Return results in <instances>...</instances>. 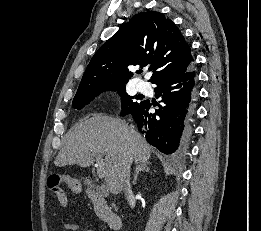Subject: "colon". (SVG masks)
I'll return each mask as SVG.
<instances>
[{
	"label": "colon",
	"instance_id": "obj_1",
	"mask_svg": "<svg viewBox=\"0 0 261 231\" xmlns=\"http://www.w3.org/2000/svg\"><path fill=\"white\" fill-rule=\"evenodd\" d=\"M54 193L57 195V196H60V191L59 189L57 188V186L54 187Z\"/></svg>",
	"mask_w": 261,
	"mask_h": 231
}]
</instances>
